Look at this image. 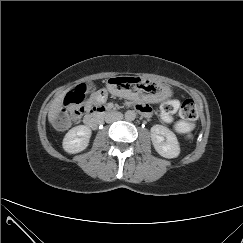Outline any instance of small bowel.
I'll list each match as a JSON object with an SVG mask.
<instances>
[{
    "label": "small bowel",
    "instance_id": "c3829d8e",
    "mask_svg": "<svg viewBox=\"0 0 243 243\" xmlns=\"http://www.w3.org/2000/svg\"><path fill=\"white\" fill-rule=\"evenodd\" d=\"M107 99V92L105 90H99L92 94L90 99L86 103V107L90 106H100L102 105ZM136 109L146 117L151 115V108L143 103H138L136 105Z\"/></svg>",
    "mask_w": 243,
    "mask_h": 243
}]
</instances>
